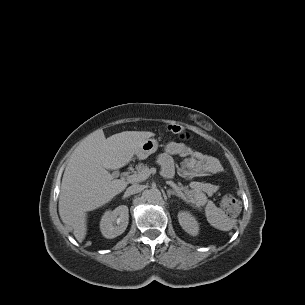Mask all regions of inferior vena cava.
<instances>
[{"label": "inferior vena cava", "instance_id": "inferior-vena-cava-1", "mask_svg": "<svg viewBox=\"0 0 305 305\" xmlns=\"http://www.w3.org/2000/svg\"><path fill=\"white\" fill-rule=\"evenodd\" d=\"M143 190V186L139 184H133L130 187L127 188L125 195L130 196L136 193H139Z\"/></svg>", "mask_w": 305, "mask_h": 305}]
</instances>
